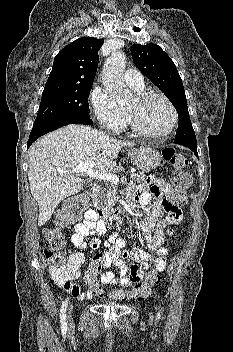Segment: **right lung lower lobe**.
Segmentation results:
<instances>
[{"label": "right lung lower lobe", "mask_w": 233, "mask_h": 352, "mask_svg": "<svg viewBox=\"0 0 233 352\" xmlns=\"http://www.w3.org/2000/svg\"><path fill=\"white\" fill-rule=\"evenodd\" d=\"M67 124L91 125L92 120L90 118H85V117H69V118H64V119H59V120H54V121H49L42 124L34 125L30 133L29 140L27 142V148H29L31 144L40 136L48 132L54 131Z\"/></svg>", "instance_id": "obj_1"}]
</instances>
